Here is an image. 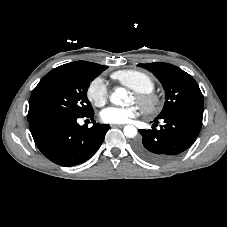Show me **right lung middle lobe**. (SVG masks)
Here are the masks:
<instances>
[{
  "instance_id": "right-lung-middle-lobe-1",
  "label": "right lung middle lobe",
  "mask_w": 227,
  "mask_h": 227,
  "mask_svg": "<svg viewBox=\"0 0 227 227\" xmlns=\"http://www.w3.org/2000/svg\"><path fill=\"white\" fill-rule=\"evenodd\" d=\"M106 68L96 63H68L50 71L32 91L28 121L43 115L83 117L93 113L87 90L90 81Z\"/></svg>"
}]
</instances>
